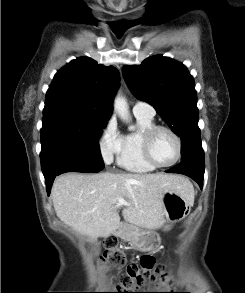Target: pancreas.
Returning <instances> with one entry per match:
<instances>
[{
	"instance_id": "obj_1",
	"label": "pancreas",
	"mask_w": 245,
	"mask_h": 293,
	"mask_svg": "<svg viewBox=\"0 0 245 293\" xmlns=\"http://www.w3.org/2000/svg\"><path fill=\"white\" fill-rule=\"evenodd\" d=\"M134 230H135V226L132 225V224H130V225H123L122 226V230H121L122 235H120L121 238H123L124 240H127V233L128 232H132Z\"/></svg>"
}]
</instances>
